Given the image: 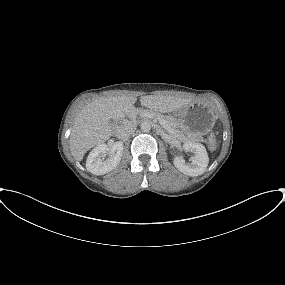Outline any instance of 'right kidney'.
Wrapping results in <instances>:
<instances>
[{"mask_svg":"<svg viewBox=\"0 0 285 285\" xmlns=\"http://www.w3.org/2000/svg\"><path fill=\"white\" fill-rule=\"evenodd\" d=\"M123 143L115 142L110 148L105 143L97 145L88 155L86 168L94 175H103L112 171L121 161ZM109 153V158L104 157Z\"/></svg>","mask_w":285,"mask_h":285,"instance_id":"right-kidney-1","label":"right kidney"}]
</instances>
